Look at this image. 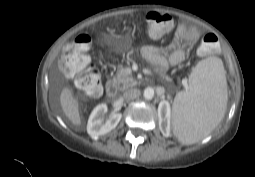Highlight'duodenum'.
I'll list each match as a JSON object with an SVG mask.
<instances>
[{"label":"duodenum","mask_w":255,"mask_h":177,"mask_svg":"<svg viewBox=\"0 0 255 177\" xmlns=\"http://www.w3.org/2000/svg\"><path fill=\"white\" fill-rule=\"evenodd\" d=\"M106 92L110 98H115L117 94V87L112 80H108L106 83Z\"/></svg>","instance_id":"obj_1"}]
</instances>
